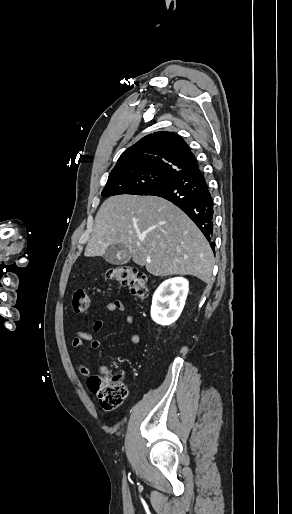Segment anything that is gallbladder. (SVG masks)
Masks as SVG:
<instances>
[{
    "instance_id": "1",
    "label": "gallbladder",
    "mask_w": 292,
    "mask_h": 514,
    "mask_svg": "<svg viewBox=\"0 0 292 514\" xmlns=\"http://www.w3.org/2000/svg\"><path fill=\"white\" fill-rule=\"evenodd\" d=\"M103 258L105 262H109V264H115V266H122V264H127V262H129L130 254L128 250H125L122 244H110Z\"/></svg>"
}]
</instances>
